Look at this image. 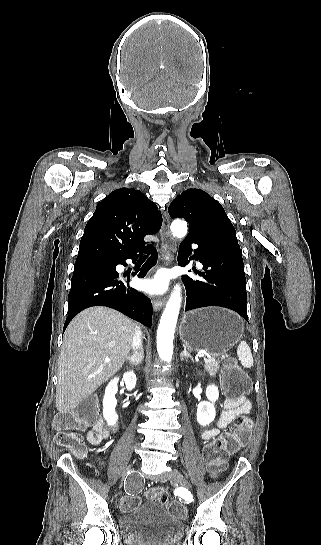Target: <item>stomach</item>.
Segmentation results:
<instances>
[{
  "label": "stomach",
  "instance_id": "stomach-1",
  "mask_svg": "<svg viewBox=\"0 0 321 545\" xmlns=\"http://www.w3.org/2000/svg\"><path fill=\"white\" fill-rule=\"evenodd\" d=\"M179 333L191 351L223 355L240 341L244 325L239 315L229 309L206 307L185 313Z\"/></svg>",
  "mask_w": 321,
  "mask_h": 545
}]
</instances>
